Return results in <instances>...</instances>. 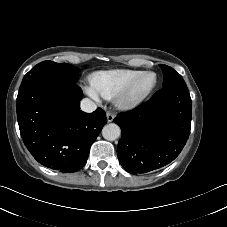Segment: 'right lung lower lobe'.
I'll list each match as a JSON object with an SVG mask.
<instances>
[{"label": "right lung lower lobe", "mask_w": 227, "mask_h": 227, "mask_svg": "<svg viewBox=\"0 0 227 227\" xmlns=\"http://www.w3.org/2000/svg\"><path fill=\"white\" fill-rule=\"evenodd\" d=\"M83 92L75 81L40 74L22 80L16 107L21 137L42 165L64 173L80 170L106 124L101 108L80 110Z\"/></svg>", "instance_id": "obj_1"}]
</instances>
